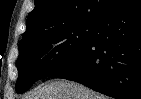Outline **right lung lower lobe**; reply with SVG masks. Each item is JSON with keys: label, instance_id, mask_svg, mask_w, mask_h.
<instances>
[{"label": "right lung lower lobe", "instance_id": "1", "mask_svg": "<svg viewBox=\"0 0 141 99\" xmlns=\"http://www.w3.org/2000/svg\"><path fill=\"white\" fill-rule=\"evenodd\" d=\"M97 22L92 40L50 77L116 99H141V0H123Z\"/></svg>", "mask_w": 141, "mask_h": 99}]
</instances>
